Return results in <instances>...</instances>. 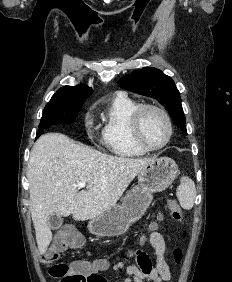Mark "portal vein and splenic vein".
<instances>
[{"instance_id": "portal-vein-and-splenic-vein-1", "label": "portal vein and splenic vein", "mask_w": 232, "mask_h": 282, "mask_svg": "<svg viewBox=\"0 0 232 282\" xmlns=\"http://www.w3.org/2000/svg\"><path fill=\"white\" fill-rule=\"evenodd\" d=\"M77 187H78V188H85V187H86V182H84V181L78 182V183H77Z\"/></svg>"}]
</instances>
